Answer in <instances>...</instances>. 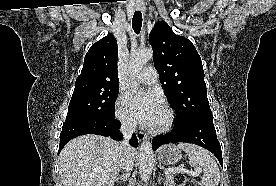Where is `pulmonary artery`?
<instances>
[{
    "label": "pulmonary artery",
    "instance_id": "1",
    "mask_svg": "<svg viewBox=\"0 0 276 186\" xmlns=\"http://www.w3.org/2000/svg\"><path fill=\"white\" fill-rule=\"evenodd\" d=\"M158 78V73L154 67L144 68L137 76L138 81L141 83L150 85L156 83Z\"/></svg>",
    "mask_w": 276,
    "mask_h": 186
}]
</instances>
